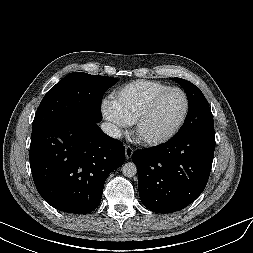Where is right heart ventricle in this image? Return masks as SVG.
Listing matches in <instances>:
<instances>
[{
	"mask_svg": "<svg viewBox=\"0 0 253 253\" xmlns=\"http://www.w3.org/2000/svg\"><path fill=\"white\" fill-rule=\"evenodd\" d=\"M170 87L156 80H136L120 87L113 102L126 124H133L147 102L158 92Z\"/></svg>",
	"mask_w": 253,
	"mask_h": 253,
	"instance_id": "obj_1",
	"label": "right heart ventricle"
}]
</instances>
